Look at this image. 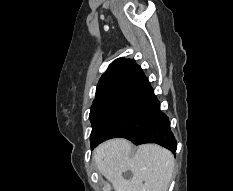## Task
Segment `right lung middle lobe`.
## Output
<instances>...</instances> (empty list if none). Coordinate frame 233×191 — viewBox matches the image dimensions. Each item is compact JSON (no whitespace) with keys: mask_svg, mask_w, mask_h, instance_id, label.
<instances>
[{"mask_svg":"<svg viewBox=\"0 0 233 191\" xmlns=\"http://www.w3.org/2000/svg\"><path fill=\"white\" fill-rule=\"evenodd\" d=\"M127 98L128 95L123 93L93 103L90 111V120L92 123L91 146L125 107Z\"/></svg>","mask_w":233,"mask_h":191,"instance_id":"dd1d6c3e","label":"right lung middle lobe"}]
</instances>
